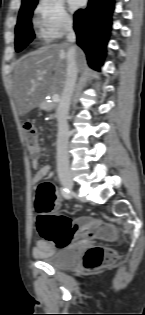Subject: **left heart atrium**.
<instances>
[{
  "instance_id": "1",
  "label": "left heart atrium",
  "mask_w": 145,
  "mask_h": 315,
  "mask_svg": "<svg viewBox=\"0 0 145 315\" xmlns=\"http://www.w3.org/2000/svg\"><path fill=\"white\" fill-rule=\"evenodd\" d=\"M83 3V0H69L70 7L76 9L80 7Z\"/></svg>"
}]
</instances>
